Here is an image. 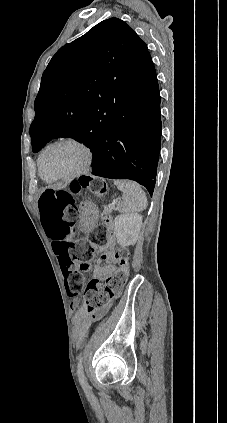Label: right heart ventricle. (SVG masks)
I'll return each mask as SVG.
<instances>
[{
  "mask_svg": "<svg viewBox=\"0 0 227 423\" xmlns=\"http://www.w3.org/2000/svg\"><path fill=\"white\" fill-rule=\"evenodd\" d=\"M39 175H40L41 179H42L45 183H50V182H52V181H49V180L45 179V178L41 175L40 171H39Z\"/></svg>",
  "mask_w": 227,
  "mask_h": 423,
  "instance_id": "obj_1",
  "label": "right heart ventricle"
}]
</instances>
